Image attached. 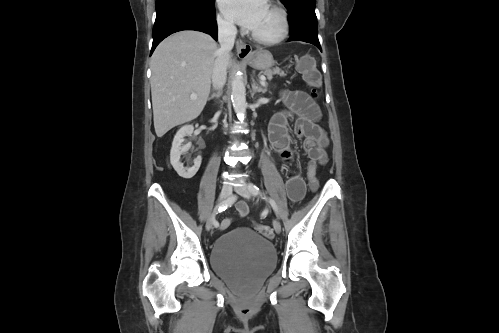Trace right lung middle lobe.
Here are the masks:
<instances>
[{
  "label": "right lung middle lobe",
  "instance_id": "dd1d6c3e",
  "mask_svg": "<svg viewBox=\"0 0 499 333\" xmlns=\"http://www.w3.org/2000/svg\"><path fill=\"white\" fill-rule=\"evenodd\" d=\"M215 0H156L157 15L175 9L208 12L214 8Z\"/></svg>",
  "mask_w": 499,
  "mask_h": 333
}]
</instances>
